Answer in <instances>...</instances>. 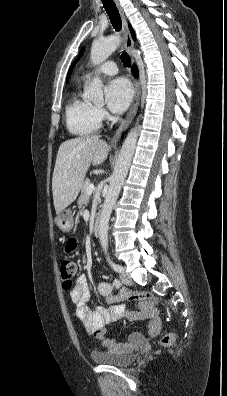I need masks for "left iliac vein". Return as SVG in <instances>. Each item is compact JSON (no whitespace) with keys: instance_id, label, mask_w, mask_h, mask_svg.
I'll return each mask as SVG.
<instances>
[{"instance_id":"left-iliac-vein-1","label":"left iliac vein","mask_w":227,"mask_h":396,"mask_svg":"<svg viewBox=\"0 0 227 396\" xmlns=\"http://www.w3.org/2000/svg\"><path fill=\"white\" fill-rule=\"evenodd\" d=\"M120 279L123 284L125 285H132V279L130 276L125 272V268L122 267V271L120 272Z\"/></svg>"}]
</instances>
